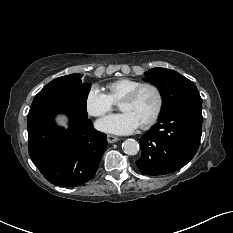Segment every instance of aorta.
<instances>
[{"label":"aorta","mask_w":233,"mask_h":233,"mask_svg":"<svg viewBox=\"0 0 233 233\" xmlns=\"http://www.w3.org/2000/svg\"><path fill=\"white\" fill-rule=\"evenodd\" d=\"M122 149L128 155H135L139 151V144L134 139H127L122 143Z\"/></svg>","instance_id":"aorta-1"}]
</instances>
